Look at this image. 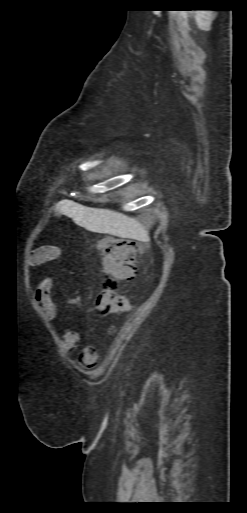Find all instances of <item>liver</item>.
<instances>
[{
  "instance_id": "liver-1",
  "label": "liver",
  "mask_w": 247,
  "mask_h": 513,
  "mask_svg": "<svg viewBox=\"0 0 247 513\" xmlns=\"http://www.w3.org/2000/svg\"><path fill=\"white\" fill-rule=\"evenodd\" d=\"M58 212L91 232L136 240L149 239L148 231L135 218L114 210L89 208L64 199L56 204L55 213Z\"/></svg>"
}]
</instances>
